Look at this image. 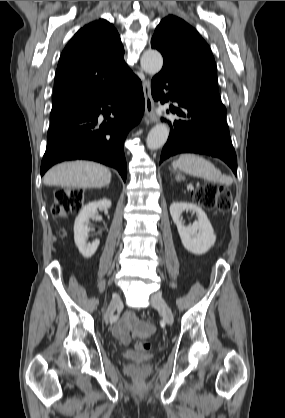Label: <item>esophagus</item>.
Segmentation results:
<instances>
[{"mask_svg":"<svg viewBox=\"0 0 285 418\" xmlns=\"http://www.w3.org/2000/svg\"><path fill=\"white\" fill-rule=\"evenodd\" d=\"M143 94L145 98L144 123H157L159 121V117L157 115L155 103L151 94L150 82L147 79L143 81Z\"/></svg>","mask_w":285,"mask_h":418,"instance_id":"esophagus-1","label":"esophagus"}]
</instances>
